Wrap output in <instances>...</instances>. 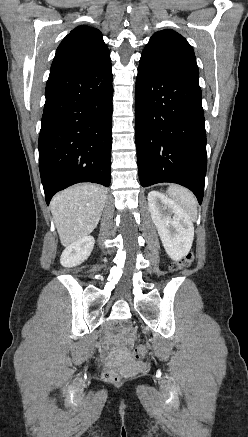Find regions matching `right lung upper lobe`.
I'll use <instances>...</instances> for the list:
<instances>
[{"instance_id":"obj_1","label":"right lung upper lobe","mask_w":248,"mask_h":437,"mask_svg":"<svg viewBox=\"0 0 248 437\" xmlns=\"http://www.w3.org/2000/svg\"><path fill=\"white\" fill-rule=\"evenodd\" d=\"M110 61V52L98 29L78 26L57 48L50 72L87 71Z\"/></svg>"}]
</instances>
